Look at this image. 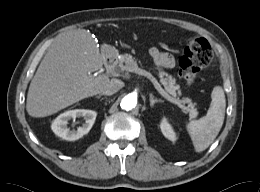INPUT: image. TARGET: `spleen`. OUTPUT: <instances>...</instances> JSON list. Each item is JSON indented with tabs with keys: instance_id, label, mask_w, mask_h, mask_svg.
Returning a JSON list of instances; mask_svg holds the SVG:
<instances>
[{
	"instance_id": "1",
	"label": "spleen",
	"mask_w": 260,
	"mask_h": 192,
	"mask_svg": "<svg viewBox=\"0 0 260 192\" xmlns=\"http://www.w3.org/2000/svg\"><path fill=\"white\" fill-rule=\"evenodd\" d=\"M211 99L206 116L186 125L196 152L204 151L213 143L224 122L226 99L222 87L213 88Z\"/></svg>"
}]
</instances>
